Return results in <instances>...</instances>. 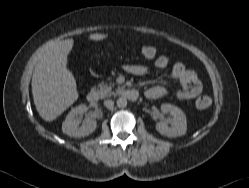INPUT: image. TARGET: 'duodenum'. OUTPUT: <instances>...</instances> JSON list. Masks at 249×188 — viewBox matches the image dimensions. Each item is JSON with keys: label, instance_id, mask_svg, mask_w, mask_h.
<instances>
[{"label": "duodenum", "instance_id": "1", "mask_svg": "<svg viewBox=\"0 0 249 188\" xmlns=\"http://www.w3.org/2000/svg\"><path fill=\"white\" fill-rule=\"evenodd\" d=\"M122 95L128 100H135L138 97V92L135 89L124 90ZM87 100L90 103H96L99 100V93L96 90H92L87 95Z\"/></svg>", "mask_w": 249, "mask_h": 188}]
</instances>
